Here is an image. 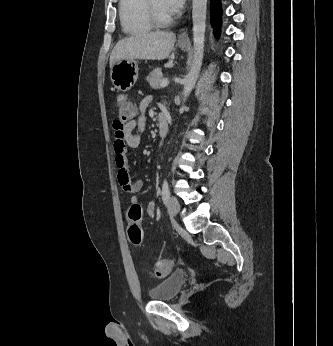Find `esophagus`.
Masks as SVG:
<instances>
[{"mask_svg":"<svg viewBox=\"0 0 333 346\" xmlns=\"http://www.w3.org/2000/svg\"><path fill=\"white\" fill-rule=\"evenodd\" d=\"M178 40L180 42H188L189 41V37H188V31L186 29H184L178 36Z\"/></svg>","mask_w":333,"mask_h":346,"instance_id":"esophagus-1","label":"esophagus"}]
</instances>
